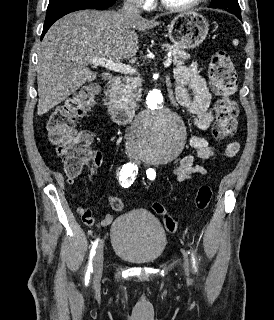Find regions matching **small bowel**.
I'll return each instance as SVG.
<instances>
[{"mask_svg":"<svg viewBox=\"0 0 274 320\" xmlns=\"http://www.w3.org/2000/svg\"><path fill=\"white\" fill-rule=\"evenodd\" d=\"M188 85L193 91L192 96L186 89ZM173 90L177 102L192 116L195 127L201 131L209 129L214 121L212 96L196 63L180 66L174 71ZM189 145L195 150V153L184 155L173 169L177 181L188 180L195 174H204L206 169L200 162L206 161L214 154L219 153L225 157H231L239 149V144L232 142L224 150L218 151L206 137L199 135H191ZM87 162L89 167L87 179L91 180L102 165V153L97 149L90 150L87 155ZM76 213L86 226L93 225L94 219L89 209L78 206ZM112 220V216L107 215L102 220V225H108Z\"/></svg>","mask_w":274,"mask_h":320,"instance_id":"obj_1","label":"small bowel"}]
</instances>
